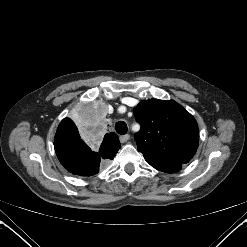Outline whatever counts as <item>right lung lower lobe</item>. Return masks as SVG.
<instances>
[{"instance_id":"right-lung-lower-lobe-1","label":"right lung lower lobe","mask_w":247,"mask_h":247,"mask_svg":"<svg viewBox=\"0 0 247 247\" xmlns=\"http://www.w3.org/2000/svg\"><path fill=\"white\" fill-rule=\"evenodd\" d=\"M55 152L61 164L71 173L80 176L96 174L116 153L106 156L100 151L91 150L80 136L57 134L54 141Z\"/></svg>"}]
</instances>
